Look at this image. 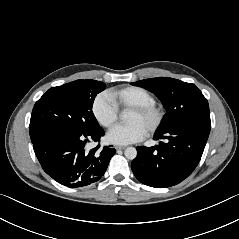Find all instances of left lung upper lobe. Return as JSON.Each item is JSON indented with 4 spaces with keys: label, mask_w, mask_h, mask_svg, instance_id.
I'll use <instances>...</instances> for the list:
<instances>
[{
    "label": "left lung upper lobe",
    "mask_w": 239,
    "mask_h": 239,
    "mask_svg": "<svg viewBox=\"0 0 239 239\" xmlns=\"http://www.w3.org/2000/svg\"><path fill=\"white\" fill-rule=\"evenodd\" d=\"M131 84L149 90L163 103L167 113L156 131L181 124L211 126L208 101L194 84L167 77L144 79Z\"/></svg>",
    "instance_id": "1"
}]
</instances>
